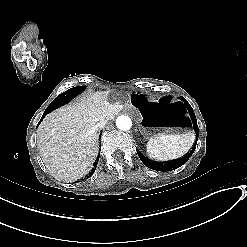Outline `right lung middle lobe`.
<instances>
[{"label": "right lung middle lobe", "mask_w": 247, "mask_h": 247, "mask_svg": "<svg viewBox=\"0 0 247 247\" xmlns=\"http://www.w3.org/2000/svg\"><path fill=\"white\" fill-rule=\"evenodd\" d=\"M85 89V87L83 86H78L75 88H70L69 90H67L66 92L58 95L51 103L50 105L46 108V112L50 113L53 110H55L56 108L60 107L61 105L67 103L70 99H72L73 97H75L76 95H78L80 92H82ZM60 99H65L64 102H62L61 104L57 105V101Z\"/></svg>", "instance_id": "obj_1"}]
</instances>
